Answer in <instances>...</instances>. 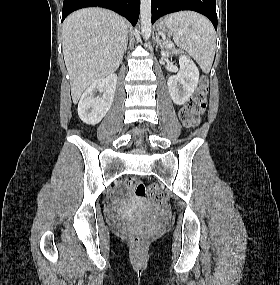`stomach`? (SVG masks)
<instances>
[{"mask_svg":"<svg viewBox=\"0 0 280 285\" xmlns=\"http://www.w3.org/2000/svg\"><path fill=\"white\" fill-rule=\"evenodd\" d=\"M158 31L161 33H171L169 27L165 24V22H161L158 25Z\"/></svg>","mask_w":280,"mask_h":285,"instance_id":"0dacf381","label":"stomach"}]
</instances>
